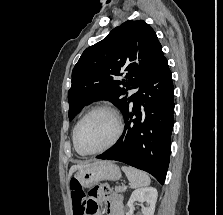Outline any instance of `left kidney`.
<instances>
[{
  "label": "left kidney",
  "instance_id": "5707ae66",
  "mask_svg": "<svg viewBox=\"0 0 223 215\" xmlns=\"http://www.w3.org/2000/svg\"><path fill=\"white\" fill-rule=\"evenodd\" d=\"M157 195L158 191L156 187H141V189H134L127 203L129 211H127L126 215H133L134 201H146L147 207H143L142 205V213H144V215H153L155 211Z\"/></svg>",
  "mask_w": 223,
  "mask_h": 215
}]
</instances>
